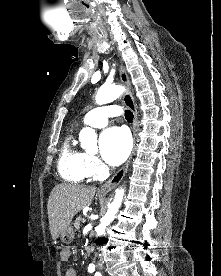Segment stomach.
I'll use <instances>...</instances> for the list:
<instances>
[{
    "instance_id": "0dacf381",
    "label": "stomach",
    "mask_w": 221,
    "mask_h": 276,
    "mask_svg": "<svg viewBox=\"0 0 221 276\" xmlns=\"http://www.w3.org/2000/svg\"><path fill=\"white\" fill-rule=\"evenodd\" d=\"M74 230L71 226H68L61 234L60 239L65 244H70L74 239Z\"/></svg>"
}]
</instances>
